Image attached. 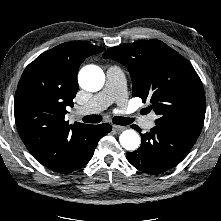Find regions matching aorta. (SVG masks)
<instances>
[{
    "instance_id": "1",
    "label": "aorta",
    "mask_w": 221,
    "mask_h": 221,
    "mask_svg": "<svg viewBox=\"0 0 221 221\" xmlns=\"http://www.w3.org/2000/svg\"><path fill=\"white\" fill-rule=\"evenodd\" d=\"M79 85L86 91H99L105 83V75L102 69L96 65L83 67L78 75ZM121 146L129 151H134L140 146V136L133 129L125 130L119 137Z\"/></svg>"
}]
</instances>
